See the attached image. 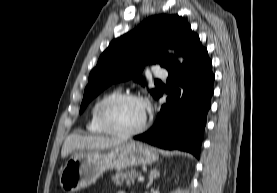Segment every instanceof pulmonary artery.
<instances>
[{
    "label": "pulmonary artery",
    "mask_w": 277,
    "mask_h": 193,
    "mask_svg": "<svg viewBox=\"0 0 277 193\" xmlns=\"http://www.w3.org/2000/svg\"><path fill=\"white\" fill-rule=\"evenodd\" d=\"M154 76L157 77V78L165 79L168 76V73L164 69H157L154 72Z\"/></svg>",
    "instance_id": "1"
}]
</instances>
